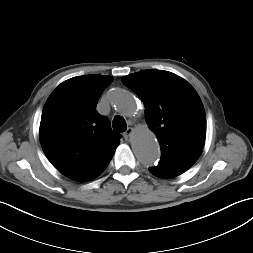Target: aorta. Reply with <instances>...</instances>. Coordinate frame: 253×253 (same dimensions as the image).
<instances>
[{"instance_id":"762f6f07","label":"aorta","mask_w":253,"mask_h":253,"mask_svg":"<svg viewBox=\"0 0 253 253\" xmlns=\"http://www.w3.org/2000/svg\"><path fill=\"white\" fill-rule=\"evenodd\" d=\"M109 100L112 107L122 115L132 116L136 110L135 98L127 90H112L109 95ZM132 146L135 155L145 166L153 165L160 157L159 144L147 126H142L135 130Z\"/></svg>"}]
</instances>
